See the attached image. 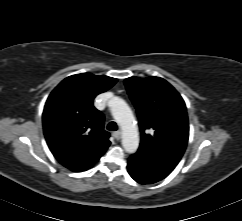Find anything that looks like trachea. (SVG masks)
I'll return each mask as SVG.
<instances>
[{"instance_id": "1", "label": "trachea", "mask_w": 242, "mask_h": 221, "mask_svg": "<svg viewBox=\"0 0 242 221\" xmlns=\"http://www.w3.org/2000/svg\"><path fill=\"white\" fill-rule=\"evenodd\" d=\"M117 124L115 122H109L107 125V129L109 131H116L117 130Z\"/></svg>"}]
</instances>
